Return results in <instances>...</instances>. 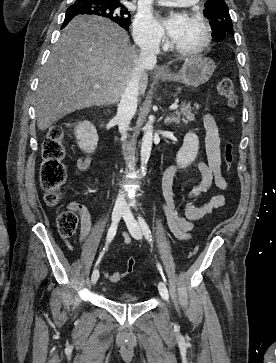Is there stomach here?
I'll return each mask as SVG.
<instances>
[{"mask_svg": "<svg viewBox=\"0 0 276 363\" xmlns=\"http://www.w3.org/2000/svg\"><path fill=\"white\" fill-rule=\"evenodd\" d=\"M215 64L208 57H192L186 59L177 74L169 72L159 74V78L165 81H178L187 86L196 88L205 84L215 70Z\"/></svg>", "mask_w": 276, "mask_h": 363, "instance_id": "stomach-1", "label": "stomach"}]
</instances>
